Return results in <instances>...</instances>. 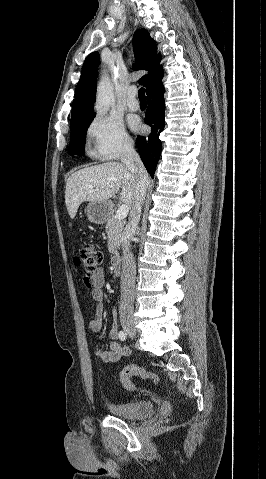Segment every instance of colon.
<instances>
[{
	"label": "colon",
	"instance_id": "obj_1",
	"mask_svg": "<svg viewBox=\"0 0 266 479\" xmlns=\"http://www.w3.org/2000/svg\"><path fill=\"white\" fill-rule=\"evenodd\" d=\"M101 260L102 252L94 245L85 242L77 248L74 261L84 273V283L87 287H92L89 277ZM134 376H138L141 379H151L155 383L158 382V377L154 372L137 366H127L120 372V381L127 390L133 391L136 389L135 384L132 382V377Z\"/></svg>",
	"mask_w": 266,
	"mask_h": 479
}]
</instances>
